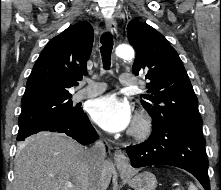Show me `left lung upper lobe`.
I'll list each match as a JSON object with an SVG mask.
<instances>
[{"instance_id": "1", "label": "left lung upper lobe", "mask_w": 221, "mask_h": 190, "mask_svg": "<svg viewBox=\"0 0 221 190\" xmlns=\"http://www.w3.org/2000/svg\"><path fill=\"white\" fill-rule=\"evenodd\" d=\"M129 43L136 49L134 75H145L150 95L141 104L153 124L169 122L203 136L198 100L176 50L158 31L132 20L127 27Z\"/></svg>"}]
</instances>
